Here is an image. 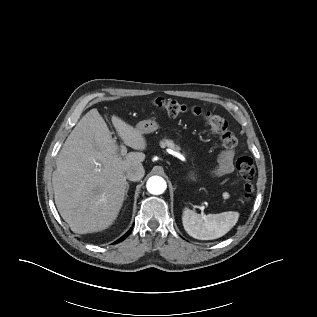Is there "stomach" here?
Returning a JSON list of instances; mask_svg holds the SVG:
<instances>
[{
	"label": "stomach",
	"instance_id": "0dacf381",
	"mask_svg": "<svg viewBox=\"0 0 317 317\" xmlns=\"http://www.w3.org/2000/svg\"><path fill=\"white\" fill-rule=\"evenodd\" d=\"M159 128L158 123L156 122L155 119H147V120H143L140 121L137 124V129L142 133V134H148V133H152L154 131H156ZM191 179H195L194 174L191 175Z\"/></svg>",
	"mask_w": 317,
	"mask_h": 317
}]
</instances>
